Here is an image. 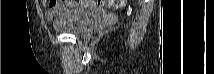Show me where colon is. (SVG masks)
<instances>
[{"label":"colon","mask_w":214,"mask_h":74,"mask_svg":"<svg viewBox=\"0 0 214 74\" xmlns=\"http://www.w3.org/2000/svg\"><path fill=\"white\" fill-rule=\"evenodd\" d=\"M56 1H52L51 3H55ZM93 3L97 4L100 7H109L114 9H121L125 6V0H97L93 1Z\"/></svg>","instance_id":"5ec220e1"}]
</instances>
